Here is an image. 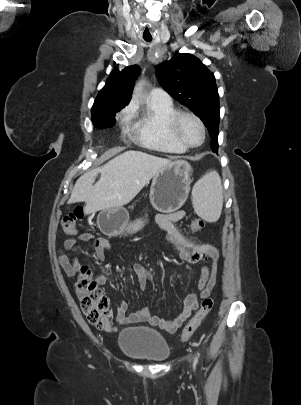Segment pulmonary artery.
Listing matches in <instances>:
<instances>
[{
  "instance_id": "obj_1",
  "label": "pulmonary artery",
  "mask_w": 301,
  "mask_h": 405,
  "mask_svg": "<svg viewBox=\"0 0 301 405\" xmlns=\"http://www.w3.org/2000/svg\"><path fill=\"white\" fill-rule=\"evenodd\" d=\"M148 99L150 102L161 104V105H170L172 100L169 94L161 88H154L149 93Z\"/></svg>"
}]
</instances>
